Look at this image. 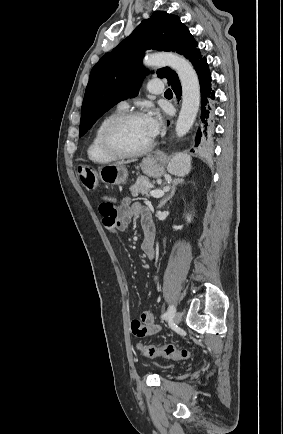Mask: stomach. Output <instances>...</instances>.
I'll list each match as a JSON object with an SVG mask.
<instances>
[{"label":"stomach","mask_w":283,"mask_h":434,"mask_svg":"<svg viewBox=\"0 0 283 434\" xmlns=\"http://www.w3.org/2000/svg\"><path fill=\"white\" fill-rule=\"evenodd\" d=\"M141 168L149 177L159 178L165 174V165L158 155L143 159ZM99 178L107 185H120L127 181L128 171L124 164H109L100 168Z\"/></svg>","instance_id":"1"}]
</instances>
